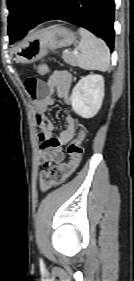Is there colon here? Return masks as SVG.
Wrapping results in <instances>:
<instances>
[{"instance_id": "1", "label": "colon", "mask_w": 134, "mask_h": 281, "mask_svg": "<svg viewBox=\"0 0 134 281\" xmlns=\"http://www.w3.org/2000/svg\"><path fill=\"white\" fill-rule=\"evenodd\" d=\"M48 70V66L45 63L37 66V72L41 76L46 75ZM85 134V129L80 128L76 137L68 144L67 153L69 161L67 163L51 166L48 170L41 172L39 181L42 191H47L54 186L62 184L77 170L84 152L83 141Z\"/></svg>"}]
</instances>
